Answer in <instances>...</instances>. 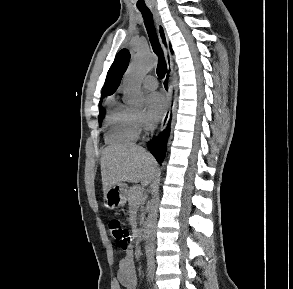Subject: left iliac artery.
Returning a JSON list of instances; mask_svg holds the SVG:
<instances>
[{
  "instance_id": "obj_1",
  "label": "left iliac artery",
  "mask_w": 293,
  "mask_h": 289,
  "mask_svg": "<svg viewBox=\"0 0 293 289\" xmlns=\"http://www.w3.org/2000/svg\"><path fill=\"white\" fill-rule=\"evenodd\" d=\"M147 271L149 278L153 279L155 271V261L153 258H148L147 260Z\"/></svg>"
}]
</instances>
